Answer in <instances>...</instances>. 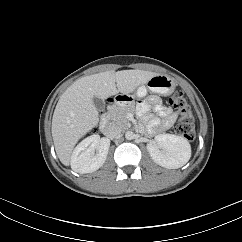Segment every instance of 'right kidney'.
<instances>
[{"label": "right kidney", "mask_w": 242, "mask_h": 242, "mask_svg": "<svg viewBox=\"0 0 242 242\" xmlns=\"http://www.w3.org/2000/svg\"><path fill=\"white\" fill-rule=\"evenodd\" d=\"M110 142L99 135H91L82 140L71 155V168L77 173H91L104 164ZM95 151L97 153L95 154Z\"/></svg>", "instance_id": "ca27d5eb"}]
</instances>
